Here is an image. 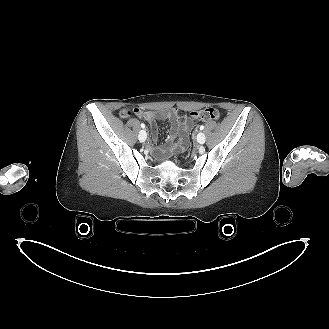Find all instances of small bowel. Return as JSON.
I'll list each match as a JSON object with an SVG mask.
<instances>
[{
  "instance_id": "1",
  "label": "small bowel",
  "mask_w": 329,
  "mask_h": 329,
  "mask_svg": "<svg viewBox=\"0 0 329 329\" xmlns=\"http://www.w3.org/2000/svg\"><path fill=\"white\" fill-rule=\"evenodd\" d=\"M135 113L139 118L151 124L154 142L159 140V132L155 121L157 119H167L170 122L169 140L157 150V154L169 157L172 153L181 151L186 147L188 133L194 127L193 119L189 118L186 110L172 108L161 111H144L137 108Z\"/></svg>"
}]
</instances>
